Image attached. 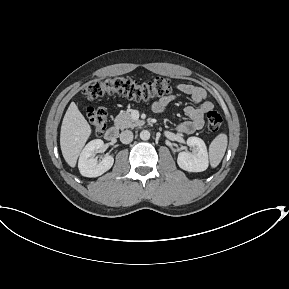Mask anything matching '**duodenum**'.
Here are the masks:
<instances>
[{"instance_id":"obj_1","label":"duodenum","mask_w":289,"mask_h":289,"mask_svg":"<svg viewBox=\"0 0 289 289\" xmlns=\"http://www.w3.org/2000/svg\"><path fill=\"white\" fill-rule=\"evenodd\" d=\"M104 137L109 142H115L118 138V130L115 127H110L106 130Z\"/></svg>"}]
</instances>
